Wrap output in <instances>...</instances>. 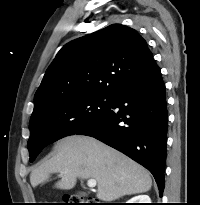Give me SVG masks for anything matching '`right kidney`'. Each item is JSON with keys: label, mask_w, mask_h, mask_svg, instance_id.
Masks as SVG:
<instances>
[{"label": "right kidney", "mask_w": 200, "mask_h": 205, "mask_svg": "<svg viewBox=\"0 0 200 205\" xmlns=\"http://www.w3.org/2000/svg\"><path fill=\"white\" fill-rule=\"evenodd\" d=\"M127 203H151V199L148 195H138L131 198Z\"/></svg>", "instance_id": "ca27d5eb"}]
</instances>
